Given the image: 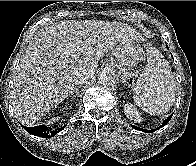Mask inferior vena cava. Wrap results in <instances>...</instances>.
<instances>
[{
  "mask_svg": "<svg viewBox=\"0 0 196 166\" xmlns=\"http://www.w3.org/2000/svg\"><path fill=\"white\" fill-rule=\"evenodd\" d=\"M92 75L90 73H81L77 72L74 76L75 84H83L85 83Z\"/></svg>",
  "mask_w": 196,
  "mask_h": 166,
  "instance_id": "1",
  "label": "inferior vena cava"
}]
</instances>
